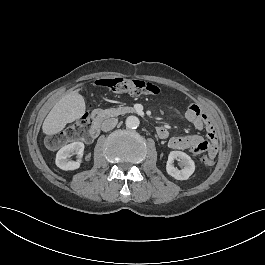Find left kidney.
<instances>
[{"mask_svg": "<svg viewBox=\"0 0 265 265\" xmlns=\"http://www.w3.org/2000/svg\"><path fill=\"white\" fill-rule=\"evenodd\" d=\"M180 159L181 165L183 168L178 170L174 165H172V161L174 159ZM195 171V163L193 159L183 151L173 150L168 155V161L166 165V173L173 177L176 180L182 181L187 180Z\"/></svg>", "mask_w": 265, "mask_h": 265, "instance_id": "obj_1", "label": "left kidney"}]
</instances>
